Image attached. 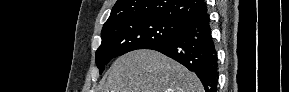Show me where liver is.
<instances>
[{
	"label": "liver",
	"mask_w": 289,
	"mask_h": 92,
	"mask_svg": "<svg viewBox=\"0 0 289 92\" xmlns=\"http://www.w3.org/2000/svg\"><path fill=\"white\" fill-rule=\"evenodd\" d=\"M101 92H204L195 73L160 52L140 49L117 58Z\"/></svg>",
	"instance_id": "6515ba94"
}]
</instances>
